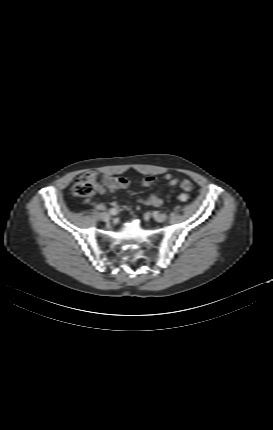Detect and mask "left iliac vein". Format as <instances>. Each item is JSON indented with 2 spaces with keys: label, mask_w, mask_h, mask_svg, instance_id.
Masks as SVG:
<instances>
[{
  "label": "left iliac vein",
  "mask_w": 273,
  "mask_h": 430,
  "mask_svg": "<svg viewBox=\"0 0 273 430\" xmlns=\"http://www.w3.org/2000/svg\"><path fill=\"white\" fill-rule=\"evenodd\" d=\"M153 218L157 221V222H164L167 218L166 214H159V213H155L153 215Z\"/></svg>",
  "instance_id": "4c4485c4"
}]
</instances>
